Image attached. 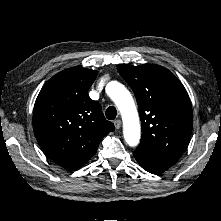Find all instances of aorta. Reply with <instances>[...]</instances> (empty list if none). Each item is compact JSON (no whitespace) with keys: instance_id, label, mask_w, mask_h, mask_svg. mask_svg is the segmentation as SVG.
I'll return each mask as SVG.
<instances>
[{"instance_id":"obj_1","label":"aorta","mask_w":221,"mask_h":221,"mask_svg":"<svg viewBox=\"0 0 221 221\" xmlns=\"http://www.w3.org/2000/svg\"><path fill=\"white\" fill-rule=\"evenodd\" d=\"M121 112L124 122V138L129 146H137L140 141V124L135 104L130 92L120 83L113 82L107 91Z\"/></svg>"}]
</instances>
